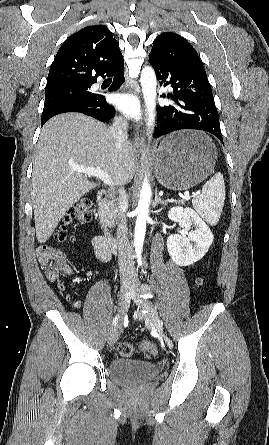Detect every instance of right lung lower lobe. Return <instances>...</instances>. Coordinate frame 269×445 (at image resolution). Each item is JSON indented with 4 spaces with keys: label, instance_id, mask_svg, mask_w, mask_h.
<instances>
[{
    "label": "right lung lower lobe",
    "instance_id": "obj_1",
    "mask_svg": "<svg viewBox=\"0 0 269 445\" xmlns=\"http://www.w3.org/2000/svg\"><path fill=\"white\" fill-rule=\"evenodd\" d=\"M124 61L118 64L115 68L109 71L107 76H114L113 83L109 91L117 90L125 81L123 74ZM104 76V75H103ZM95 83V82H94ZM65 112H79L91 116L99 121L109 120L114 116L115 109L106 102L105 96L96 94V97L84 105H74L63 108L57 114ZM56 114V115H57ZM44 123L41 124L43 126Z\"/></svg>",
    "mask_w": 269,
    "mask_h": 445
}]
</instances>
